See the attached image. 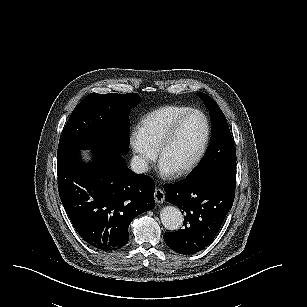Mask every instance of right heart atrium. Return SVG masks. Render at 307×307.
<instances>
[{"label": "right heart atrium", "instance_id": "right-heart-atrium-1", "mask_svg": "<svg viewBox=\"0 0 307 307\" xmlns=\"http://www.w3.org/2000/svg\"><path fill=\"white\" fill-rule=\"evenodd\" d=\"M131 144L134 146L136 158L144 163L153 159V150L149 147V140L142 133H135L131 137Z\"/></svg>", "mask_w": 307, "mask_h": 307}]
</instances>
